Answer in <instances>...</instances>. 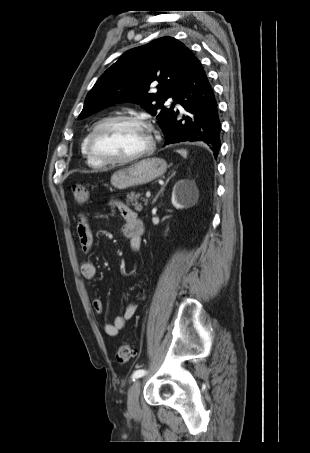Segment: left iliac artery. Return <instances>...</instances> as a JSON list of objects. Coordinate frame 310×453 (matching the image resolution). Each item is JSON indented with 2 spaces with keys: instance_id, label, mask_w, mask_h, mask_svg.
I'll return each instance as SVG.
<instances>
[{
  "instance_id": "1",
  "label": "left iliac artery",
  "mask_w": 310,
  "mask_h": 453,
  "mask_svg": "<svg viewBox=\"0 0 310 453\" xmlns=\"http://www.w3.org/2000/svg\"><path fill=\"white\" fill-rule=\"evenodd\" d=\"M145 373H146V371L143 370V369H139V370L134 371V373L132 375V380L134 381L135 379L144 376Z\"/></svg>"
}]
</instances>
